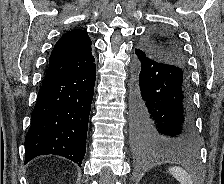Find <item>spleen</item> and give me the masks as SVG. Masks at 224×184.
Masks as SVG:
<instances>
[{
  "mask_svg": "<svg viewBox=\"0 0 224 184\" xmlns=\"http://www.w3.org/2000/svg\"><path fill=\"white\" fill-rule=\"evenodd\" d=\"M169 172L181 184H193L191 176L181 167H171Z\"/></svg>",
  "mask_w": 224,
  "mask_h": 184,
  "instance_id": "obj_1",
  "label": "spleen"
}]
</instances>
